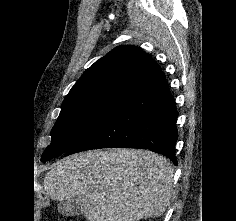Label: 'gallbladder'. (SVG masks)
<instances>
[{
    "instance_id": "gallbladder-1",
    "label": "gallbladder",
    "mask_w": 236,
    "mask_h": 221,
    "mask_svg": "<svg viewBox=\"0 0 236 221\" xmlns=\"http://www.w3.org/2000/svg\"><path fill=\"white\" fill-rule=\"evenodd\" d=\"M58 210L65 216H78L83 213L81 201L77 197L61 201L58 204Z\"/></svg>"
}]
</instances>
